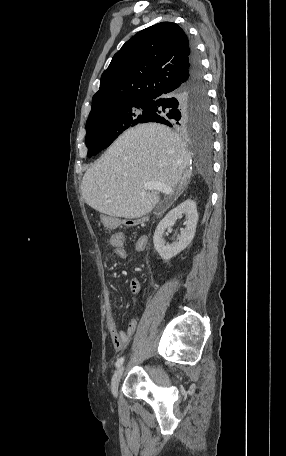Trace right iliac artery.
I'll use <instances>...</instances> for the list:
<instances>
[{
    "label": "right iliac artery",
    "mask_w": 286,
    "mask_h": 456,
    "mask_svg": "<svg viewBox=\"0 0 286 456\" xmlns=\"http://www.w3.org/2000/svg\"><path fill=\"white\" fill-rule=\"evenodd\" d=\"M123 362H124V358H123V357L119 358V359L116 361V364H115L116 367H117V368L120 367V366L123 364Z\"/></svg>",
    "instance_id": "82829eb1"
}]
</instances>
